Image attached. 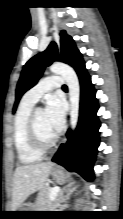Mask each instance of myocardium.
<instances>
[{"label":"myocardium","mask_w":123,"mask_h":219,"mask_svg":"<svg viewBox=\"0 0 123 219\" xmlns=\"http://www.w3.org/2000/svg\"><path fill=\"white\" fill-rule=\"evenodd\" d=\"M28 129H29L30 142L33 148L39 153L41 154L46 153L56 146L59 139L58 135H56L54 139L51 140L50 142H44L40 138L36 127V111H32L30 115Z\"/></svg>","instance_id":"myocardium-1"}]
</instances>
